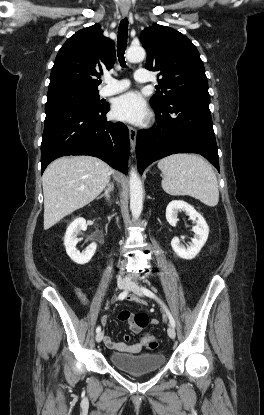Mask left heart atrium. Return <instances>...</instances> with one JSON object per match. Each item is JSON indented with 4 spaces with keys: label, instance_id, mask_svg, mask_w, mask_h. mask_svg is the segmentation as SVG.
Listing matches in <instances>:
<instances>
[{
    "label": "left heart atrium",
    "instance_id": "39dd6f15",
    "mask_svg": "<svg viewBox=\"0 0 264 415\" xmlns=\"http://www.w3.org/2000/svg\"><path fill=\"white\" fill-rule=\"evenodd\" d=\"M116 119L138 123L147 117V109L144 100L139 93L131 91L115 99L112 108Z\"/></svg>",
    "mask_w": 264,
    "mask_h": 415
}]
</instances>
